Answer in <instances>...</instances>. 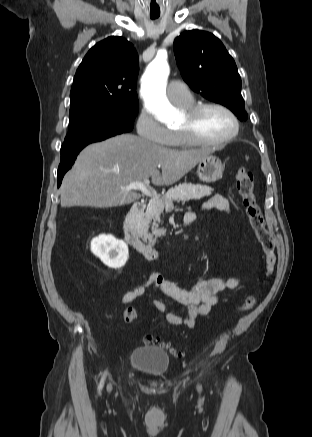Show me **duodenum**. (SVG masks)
<instances>
[{
  "mask_svg": "<svg viewBox=\"0 0 312 437\" xmlns=\"http://www.w3.org/2000/svg\"><path fill=\"white\" fill-rule=\"evenodd\" d=\"M147 202L144 200L136 201L123 222L124 240L138 253L150 261H157L162 256V251L151 243L144 241L138 233L139 220L146 209ZM188 224L189 220H184Z\"/></svg>",
  "mask_w": 312,
  "mask_h": 437,
  "instance_id": "obj_1",
  "label": "duodenum"
}]
</instances>
